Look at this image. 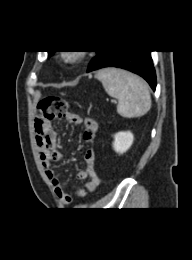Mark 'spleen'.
I'll use <instances>...</instances> for the list:
<instances>
[{"label":"spleen","instance_id":"spleen-1","mask_svg":"<svg viewBox=\"0 0 192 260\" xmlns=\"http://www.w3.org/2000/svg\"><path fill=\"white\" fill-rule=\"evenodd\" d=\"M106 93L118 100L117 112L126 118L141 117L151 108L148 84L128 71L106 68L95 74Z\"/></svg>","mask_w":192,"mask_h":260}]
</instances>
